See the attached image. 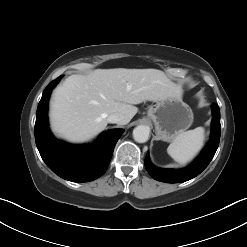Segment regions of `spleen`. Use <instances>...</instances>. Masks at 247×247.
Listing matches in <instances>:
<instances>
[{
	"mask_svg": "<svg viewBox=\"0 0 247 247\" xmlns=\"http://www.w3.org/2000/svg\"><path fill=\"white\" fill-rule=\"evenodd\" d=\"M205 138L203 127L179 133L168 146V154L179 163H187L202 148Z\"/></svg>",
	"mask_w": 247,
	"mask_h": 247,
	"instance_id": "1",
	"label": "spleen"
}]
</instances>
